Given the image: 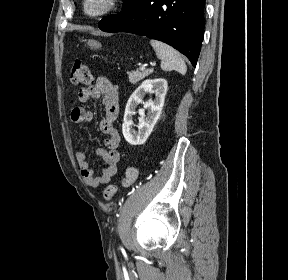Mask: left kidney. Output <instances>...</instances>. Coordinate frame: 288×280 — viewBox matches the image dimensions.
Masks as SVG:
<instances>
[{"label": "left kidney", "mask_w": 288, "mask_h": 280, "mask_svg": "<svg viewBox=\"0 0 288 280\" xmlns=\"http://www.w3.org/2000/svg\"><path fill=\"white\" fill-rule=\"evenodd\" d=\"M167 81L163 78L147 79L130 96L124 113L122 133L125 140L131 145H142L153 131L155 124L160 118L165 95L167 93ZM155 93V99L144 103V108L139 110L140 118L138 131L133 126V115L138 104L143 102V97L147 94ZM145 110H148L145 115Z\"/></svg>", "instance_id": "1"}]
</instances>
